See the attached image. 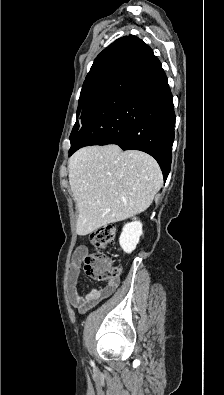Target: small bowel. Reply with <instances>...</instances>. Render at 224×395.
I'll return each instance as SVG.
<instances>
[{
    "mask_svg": "<svg viewBox=\"0 0 224 395\" xmlns=\"http://www.w3.org/2000/svg\"><path fill=\"white\" fill-rule=\"evenodd\" d=\"M87 253L88 247L86 245H81L76 249L67 279V291L71 304L79 312H86L96 306L102 299L109 297L119 285V279H115L102 288H94L89 293L80 294L78 288L80 286L81 263Z\"/></svg>",
    "mask_w": 224,
    "mask_h": 395,
    "instance_id": "small-bowel-1",
    "label": "small bowel"
}]
</instances>
